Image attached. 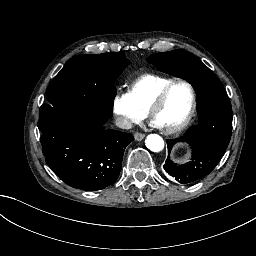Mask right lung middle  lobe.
Returning a JSON list of instances; mask_svg holds the SVG:
<instances>
[{
  "label": "right lung middle lobe",
  "mask_w": 256,
  "mask_h": 256,
  "mask_svg": "<svg viewBox=\"0 0 256 256\" xmlns=\"http://www.w3.org/2000/svg\"><path fill=\"white\" fill-rule=\"evenodd\" d=\"M128 64L122 52L73 57L48 87L38 128L42 130L53 121L81 116L106 122L116 95L113 83Z\"/></svg>",
  "instance_id": "1"
}]
</instances>
